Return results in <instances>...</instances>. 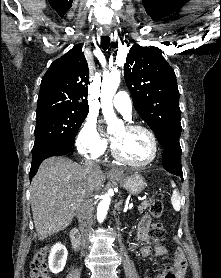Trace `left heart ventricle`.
Here are the masks:
<instances>
[{
    "label": "left heart ventricle",
    "instance_id": "1",
    "mask_svg": "<svg viewBox=\"0 0 221 278\" xmlns=\"http://www.w3.org/2000/svg\"><path fill=\"white\" fill-rule=\"evenodd\" d=\"M114 136L117 150L129 161L141 163L151 157V141L146 133L122 128Z\"/></svg>",
    "mask_w": 221,
    "mask_h": 278
}]
</instances>
